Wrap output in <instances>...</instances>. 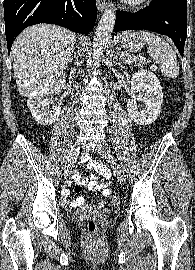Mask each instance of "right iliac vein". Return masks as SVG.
I'll return each mask as SVG.
<instances>
[{"label":"right iliac vein","instance_id":"right-iliac-vein-1","mask_svg":"<svg viewBox=\"0 0 195 270\" xmlns=\"http://www.w3.org/2000/svg\"><path fill=\"white\" fill-rule=\"evenodd\" d=\"M79 153H80V146H79V143H75L72 150H71V153H70V156H69V160H68V164L65 168V172H64V175L65 177L67 178L68 175L72 174L74 169H75V165H76V161L78 159V156H79Z\"/></svg>","mask_w":195,"mask_h":270}]
</instances>
